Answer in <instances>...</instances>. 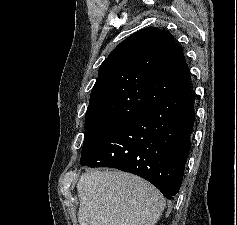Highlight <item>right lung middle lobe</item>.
Listing matches in <instances>:
<instances>
[{
    "instance_id": "obj_1",
    "label": "right lung middle lobe",
    "mask_w": 237,
    "mask_h": 225,
    "mask_svg": "<svg viewBox=\"0 0 237 225\" xmlns=\"http://www.w3.org/2000/svg\"><path fill=\"white\" fill-rule=\"evenodd\" d=\"M128 120L126 118L113 117L86 119L81 159L87 156L95 147L123 126Z\"/></svg>"
}]
</instances>
